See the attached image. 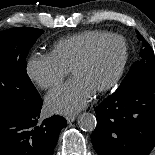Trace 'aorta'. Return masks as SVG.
Here are the masks:
<instances>
[{
	"instance_id": "aorta-1",
	"label": "aorta",
	"mask_w": 155,
	"mask_h": 155,
	"mask_svg": "<svg viewBox=\"0 0 155 155\" xmlns=\"http://www.w3.org/2000/svg\"><path fill=\"white\" fill-rule=\"evenodd\" d=\"M77 123L83 131L92 132L96 128L97 120L92 113L84 112L78 117Z\"/></svg>"
}]
</instances>
